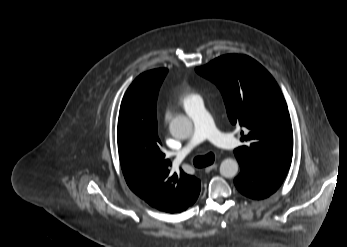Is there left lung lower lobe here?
<instances>
[{
  "instance_id": "1",
  "label": "left lung lower lobe",
  "mask_w": 347,
  "mask_h": 247,
  "mask_svg": "<svg viewBox=\"0 0 347 247\" xmlns=\"http://www.w3.org/2000/svg\"><path fill=\"white\" fill-rule=\"evenodd\" d=\"M238 162L242 171L234 183L243 195L253 199H263L273 194L288 171L286 168H256L244 160Z\"/></svg>"
}]
</instances>
